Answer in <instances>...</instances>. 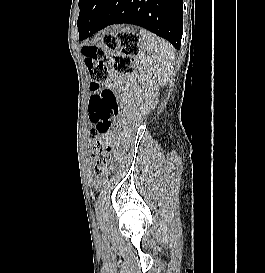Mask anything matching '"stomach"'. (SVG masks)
I'll return each mask as SVG.
<instances>
[{
	"mask_svg": "<svg viewBox=\"0 0 265 273\" xmlns=\"http://www.w3.org/2000/svg\"><path fill=\"white\" fill-rule=\"evenodd\" d=\"M115 30H138V25H115Z\"/></svg>",
	"mask_w": 265,
	"mask_h": 273,
	"instance_id": "0dacf381",
	"label": "stomach"
}]
</instances>
